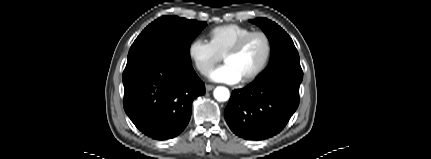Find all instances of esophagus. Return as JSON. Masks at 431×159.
Segmentation results:
<instances>
[{"instance_id":"obj_1","label":"esophagus","mask_w":431,"mask_h":159,"mask_svg":"<svg viewBox=\"0 0 431 159\" xmlns=\"http://www.w3.org/2000/svg\"><path fill=\"white\" fill-rule=\"evenodd\" d=\"M205 88H206V91H211L214 89V86L213 85H206Z\"/></svg>"}]
</instances>
